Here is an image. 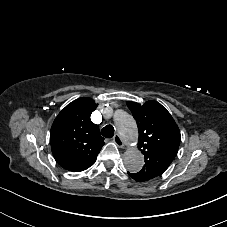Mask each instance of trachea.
<instances>
[{"instance_id":"1","label":"trachea","mask_w":227,"mask_h":227,"mask_svg":"<svg viewBox=\"0 0 227 227\" xmlns=\"http://www.w3.org/2000/svg\"><path fill=\"white\" fill-rule=\"evenodd\" d=\"M101 134L106 138H112L114 135V127L112 125H107L101 130Z\"/></svg>"}]
</instances>
